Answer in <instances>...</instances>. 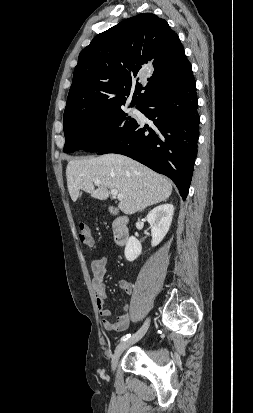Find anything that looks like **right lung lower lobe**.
Returning <instances> with one entry per match:
<instances>
[{"instance_id": "98d812e1", "label": "right lung lower lobe", "mask_w": 253, "mask_h": 413, "mask_svg": "<svg viewBox=\"0 0 253 413\" xmlns=\"http://www.w3.org/2000/svg\"><path fill=\"white\" fill-rule=\"evenodd\" d=\"M193 73L179 86L143 101L138 109L153 126L137 123L98 155H126L168 176L186 199L199 138V114Z\"/></svg>"}]
</instances>
